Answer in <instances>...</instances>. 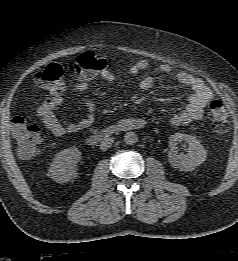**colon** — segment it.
<instances>
[{
	"mask_svg": "<svg viewBox=\"0 0 238 261\" xmlns=\"http://www.w3.org/2000/svg\"><path fill=\"white\" fill-rule=\"evenodd\" d=\"M106 67V61L91 52H86L68 65L50 63L35 75L37 84L51 92L64 91V77L66 74L94 76ZM208 115L212 123L213 132L221 136L228 128L227 111L219 100H213L208 107ZM12 133L17 143L18 154L22 158H31L38 152L44 134L39 127L29 123L22 114H17L12 120Z\"/></svg>",
	"mask_w": 238,
	"mask_h": 261,
	"instance_id": "obj_1",
	"label": "colon"
}]
</instances>
